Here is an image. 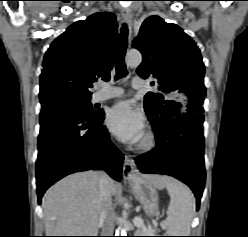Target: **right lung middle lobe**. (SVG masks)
Masks as SVG:
<instances>
[{
    "label": "right lung middle lobe",
    "instance_id": "dd1d6c3e",
    "mask_svg": "<svg viewBox=\"0 0 248 237\" xmlns=\"http://www.w3.org/2000/svg\"><path fill=\"white\" fill-rule=\"evenodd\" d=\"M46 110H70L80 114L92 115L97 113L92 109L90 99L77 100L71 98H59L42 104L41 111Z\"/></svg>",
    "mask_w": 248,
    "mask_h": 237
}]
</instances>
